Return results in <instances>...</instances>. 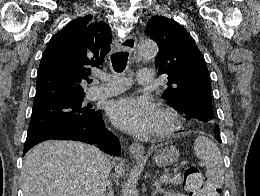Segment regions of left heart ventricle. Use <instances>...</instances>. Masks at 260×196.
Returning <instances> with one entry per match:
<instances>
[{"label":"left heart ventricle","instance_id":"left-heart-ventricle-1","mask_svg":"<svg viewBox=\"0 0 260 196\" xmlns=\"http://www.w3.org/2000/svg\"><path fill=\"white\" fill-rule=\"evenodd\" d=\"M157 121H158V115H157V112H156V120H155V124L157 123ZM155 124H154V126H155Z\"/></svg>","mask_w":260,"mask_h":196}]
</instances>
